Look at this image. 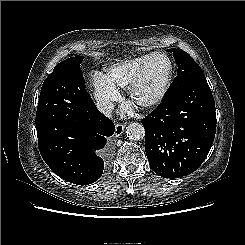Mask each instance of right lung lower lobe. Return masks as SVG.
Wrapping results in <instances>:
<instances>
[{"instance_id": "right-lung-lower-lobe-1", "label": "right lung lower lobe", "mask_w": 245, "mask_h": 245, "mask_svg": "<svg viewBox=\"0 0 245 245\" xmlns=\"http://www.w3.org/2000/svg\"><path fill=\"white\" fill-rule=\"evenodd\" d=\"M36 129L41 156L59 177L78 185L91 184L101 177L104 162L94 151L104 147L115 126L95 104L88 116L47 117L36 120Z\"/></svg>"}]
</instances>
